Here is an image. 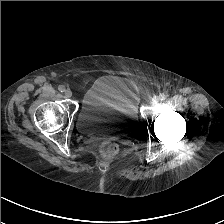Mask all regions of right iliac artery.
Here are the masks:
<instances>
[{
	"label": "right iliac artery",
	"mask_w": 224,
	"mask_h": 224,
	"mask_svg": "<svg viewBox=\"0 0 224 224\" xmlns=\"http://www.w3.org/2000/svg\"><path fill=\"white\" fill-rule=\"evenodd\" d=\"M58 90H59L60 92H65V86H64V85H60V86L58 87Z\"/></svg>",
	"instance_id": "obj_1"
}]
</instances>
